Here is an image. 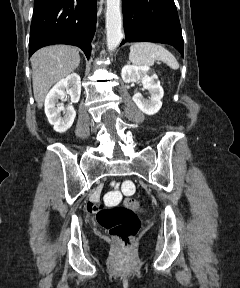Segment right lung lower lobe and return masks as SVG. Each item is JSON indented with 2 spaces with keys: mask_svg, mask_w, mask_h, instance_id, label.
Returning <instances> with one entry per match:
<instances>
[{
  "mask_svg": "<svg viewBox=\"0 0 240 288\" xmlns=\"http://www.w3.org/2000/svg\"><path fill=\"white\" fill-rule=\"evenodd\" d=\"M96 20V0H34L29 56L44 46L69 44L89 59Z\"/></svg>",
  "mask_w": 240,
  "mask_h": 288,
  "instance_id": "obj_1",
  "label": "right lung lower lobe"
}]
</instances>
